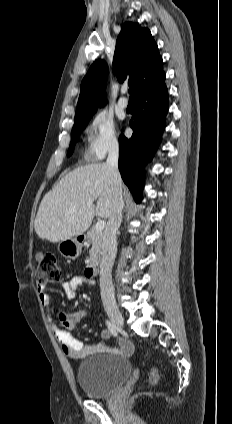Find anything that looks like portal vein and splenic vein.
Instances as JSON below:
<instances>
[{"instance_id":"obj_1","label":"portal vein and splenic vein","mask_w":232,"mask_h":424,"mask_svg":"<svg viewBox=\"0 0 232 424\" xmlns=\"http://www.w3.org/2000/svg\"><path fill=\"white\" fill-rule=\"evenodd\" d=\"M88 204L91 205L92 202H89ZM75 210H76L75 208L70 209L71 212H74ZM105 225H106L105 221L98 220L97 223L95 224V229L98 231H101L105 227Z\"/></svg>"}]
</instances>
